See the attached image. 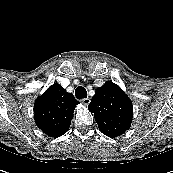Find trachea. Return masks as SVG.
I'll list each match as a JSON object with an SVG mask.
<instances>
[{"label": "trachea", "instance_id": "obj_1", "mask_svg": "<svg viewBox=\"0 0 173 173\" xmlns=\"http://www.w3.org/2000/svg\"><path fill=\"white\" fill-rule=\"evenodd\" d=\"M75 96L77 99H84L87 98V91L84 87L79 86L76 90H75Z\"/></svg>", "mask_w": 173, "mask_h": 173}]
</instances>
